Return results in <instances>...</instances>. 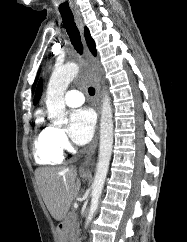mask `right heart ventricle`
<instances>
[{
    "instance_id": "1",
    "label": "right heart ventricle",
    "mask_w": 187,
    "mask_h": 242,
    "mask_svg": "<svg viewBox=\"0 0 187 242\" xmlns=\"http://www.w3.org/2000/svg\"><path fill=\"white\" fill-rule=\"evenodd\" d=\"M36 133L33 144L34 157L41 165H55L63 161V152L54 142V126L49 124L42 112L35 119Z\"/></svg>"
}]
</instances>
